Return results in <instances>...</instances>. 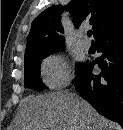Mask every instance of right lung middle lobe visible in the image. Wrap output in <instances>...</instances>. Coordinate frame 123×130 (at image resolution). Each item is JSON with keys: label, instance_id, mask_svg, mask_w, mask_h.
Listing matches in <instances>:
<instances>
[{"label": "right lung middle lobe", "instance_id": "right-lung-middle-lobe-1", "mask_svg": "<svg viewBox=\"0 0 123 130\" xmlns=\"http://www.w3.org/2000/svg\"><path fill=\"white\" fill-rule=\"evenodd\" d=\"M50 53H40L25 57V88H32L34 90L40 91L45 89V85L40 81V62L46 58ZM84 63L77 64L76 73L80 70Z\"/></svg>", "mask_w": 123, "mask_h": 130}]
</instances>
